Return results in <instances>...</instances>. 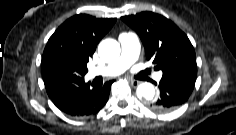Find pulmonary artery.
I'll list each match as a JSON object with an SVG mask.
<instances>
[{"label":"pulmonary artery","instance_id":"e3ab8cb5","mask_svg":"<svg viewBox=\"0 0 236 135\" xmlns=\"http://www.w3.org/2000/svg\"><path fill=\"white\" fill-rule=\"evenodd\" d=\"M119 41L122 48L120 57L107 66L91 68L89 70L90 77L120 75L137 60L140 48L137 35L134 33H122L119 36ZM161 78V72L155 75L156 81Z\"/></svg>","mask_w":236,"mask_h":135}]
</instances>
